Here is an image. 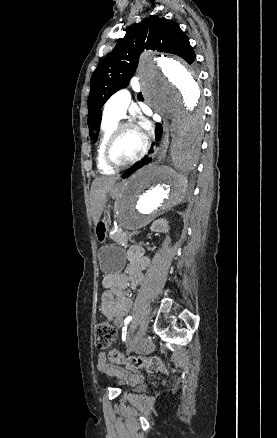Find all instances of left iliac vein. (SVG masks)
<instances>
[{
	"instance_id": "obj_1",
	"label": "left iliac vein",
	"mask_w": 277,
	"mask_h": 438,
	"mask_svg": "<svg viewBox=\"0 0 277 438\" xmlns=\"http://www.w3.org/2000/svg\"><path fill=\"white\" fill-rule=\"evenodd\" d=\"M147 329H148V320L144 319L141 323V326H140L133 342L131 343V345L128 348V352H130L131 348L143 338Z\"/></svg>"
}]
</instances>
